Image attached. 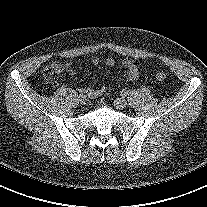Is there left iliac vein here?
<instances>
[{
	"label": "left iliac vein",
	"instance_id": "left-iliac-vein-1",
	"mask_svg": "<svg viewBox=\"0 0 207 207\" xmlns=\"http://www.w3.org/2000/svg\"><path fill=\"white\" fill-rule=\"evenodd\" d=\"M114 105L118 109H123L127 106V101L124 98H117L114 101Z\"/></svg>",
	"mask_w": 207,
	"mask_h": 207
}]
</instances>
